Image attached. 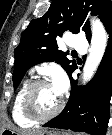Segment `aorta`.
I'll list each match as a JSON object with an SVG mask.
<instances>
[{"mask_svg":"<svg viewBox=\"0 0 112 135\" xmlns=\"http://www.w3.org/2000/svg\"><path fill=\"white\" fill-rule=\"evenodd\" d=\"M92 38L89 55L87 56L83 74L82 82L87 83L94 76L107 46V32L99 19L92 18Z\"/></svg>","mask_w":112,"mask_h":135,"instance_id":"1","label":"aorta"}]
</instances>
